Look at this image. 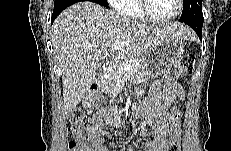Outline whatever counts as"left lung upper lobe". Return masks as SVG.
<instances>
[{"label":"left lung upper lobe","instance_id":"1","mask_svg":"<svg viewBox=\"0 0 231 151\" xmlns=\"http://www.w3.org/2000/svg\"><path fill=\"white\" fill-rule=\"evenodd\" d=\"M196 18L204 20L202 0H183V11L180 21L193 20Z\"/></svg>","mask_w":231,"mask_h":151}]
</instances>
